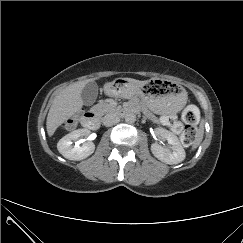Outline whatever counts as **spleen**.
<instances>
[{"instance_id":"3e777b00","label":"spleen","mask_w":243,"mask_h":243,"mask_svg":"<svg viewBox=\"0 0 243 243\" xmlns=\"http://www.w3.org/2000/svg\"><path fill=\"white\" fill-rule=\"evenodd\" d=\"M203 135H204V124L201 123L199 129L196 132L195 139L192 145V150L196 149L200 145L203 139Z\"/></svg>"}]
</instances>
